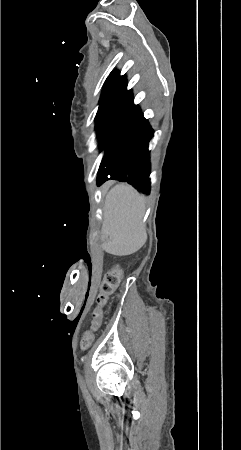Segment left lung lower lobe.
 Returning a JSON list of instances; mask_svg holds the SVG:
<instances>
[{"label": "left lung lower lobe", "instance_id": "1", "mask_svg": "<svg viewBox=\"0 0 241 450\" xmlns=\"http://www.w3.org/2000/svg\"><path fill=\"white\" fill-rule=\"evenodd\" d=\"M126 83L124 76L119 94L96 116L95 129L101 137V148H105L97 184L115 179L150 194L148 143L153 130L139 106L134 105Z\"/></svg>", "mask_w": 241, "mask_h": 450}]
</instances>
